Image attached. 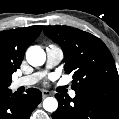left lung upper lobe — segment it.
I'll list each match as a JSON object with an SVG mask.
<instances>
[{"label": "left lung upper lobe", "instance_id": "left-lung-upper-lobe-1", "mask_svg": "<svg viewBox=\"0 0 119 119\" xmlns=\"http://www.w3.org/2000/svg\"><path fill=\"white\" fill-rule=\"evenodd\" d=\"M43 31L62 48L64 70L73 74L75 92L119 96L115 62L102 40L68 26H44Z\"/></svg>", "mask_w": 119, "mask_h": 119}]
</instances>
